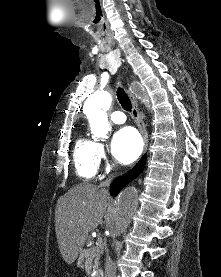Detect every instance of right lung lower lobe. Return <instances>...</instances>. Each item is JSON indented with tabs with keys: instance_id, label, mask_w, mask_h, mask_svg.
<instances>
[{
	"instance_id": "obj_1",
	"label": "right lung lower lobe",
	"mask_w": 221,
	"mask_h": 277,
	"mask_svg": "<svg viewBox=\"0 0 221 277\" xmlns=\"http://www.w3.org/2000/svg\"><path fill=\"white\" fill-rule=\"evenodd\" d=\"M146 162V155L138 162V164L128 173L116 178L110 188V194L116 196L119 191L134 178H136L143 170Z\"/></svg>"
}]
</instances>
